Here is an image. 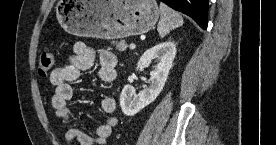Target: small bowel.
Returning <instances> with one entry per match:
<instances>
[{"label":"small bowel","mask_w":276,"mask_h":145,"mask_svg":"<svg viewBox=\"0 0 276 145\" xmlns=\"http://www.w3.org/2000/svg\"><path fill=\"white\" fill-rule=\"evenodd\" d=\"M95 53L83 42H76L73 45V53L69 57L68 64L57 67L49 75L50 83L54 86L55 92L52 96V107L60 121L68 126L65 139L68 143L77 140L80 145H106L112 133V129L117 125L118 120L114 115L116 112V102L112 97L106 96L101 100V108L106 114V119L92 136L74 127V111L70 101L74 95L71 82L79 79L81 73L91 68L94 62ZM116 56L107 50L99 54L98 79L105 84H110L116 78Z\"/></svg>","instance_id":"c3829d8e"}]
</instances>
